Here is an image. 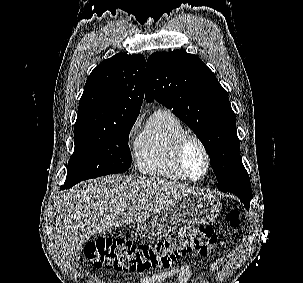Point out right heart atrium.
Instances as JSON below:
<instances>
[{
    "label": "right heart atrium",
    "instance_id": "d8ad5b80",
    "mask_svg": "<svg viewBox=\"0 0 303 283\" xmlns=\"http://www.w3.org/2000/svg\"><path fill=\"white\" fill-rule=\"evenodd\" d=\"M137 123L133 125V127L131 128V131H130V135H133L137 129Z\"/></svg>",
    "mask_w": 303,
    "mask_h": 283
}]
</instances>
